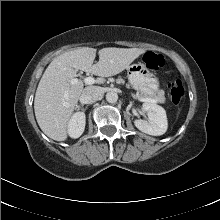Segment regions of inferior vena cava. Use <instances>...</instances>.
<instances>
[{
	"label": "inferior vena cava",
	"instance_id": "inferior-vena-cava-1",
	"mask_svg": "<svg viewBox=\"0 0 220 220\" xmlns=\"http://www.w3.org/2000/svg\"><path fill=\"white\" fill-rule=\"evenodd\" d=\"M102 95V89L97 86L86 87L81 95V99L84 103H92L97 101Z\"/></svg>",
	"mask_w": 220,
	"mask_h": 220
}]
</instances>
